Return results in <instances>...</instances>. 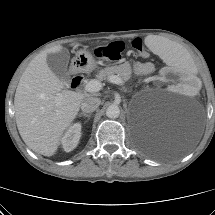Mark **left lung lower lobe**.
Instances as JSON below:
<instances>
[{
    "instance_id": "left-lung-lower-lobe-1",
    "label": "left lung lower lobe",
    "mask_w": 215,
    "mask_h": 215,
    "mask_svg": "<svg viewBox=\"0 0 215 215\" xmlns=\"http://www.w3.org/2000/svg\"><path fill=\"white\" fill-rule=\"evenodd\" d=\"M178 152V149L174 148V147H170L168 149H165L161 155L162 156H171V155H174Z\"/></svg>"
}]
</instances>
